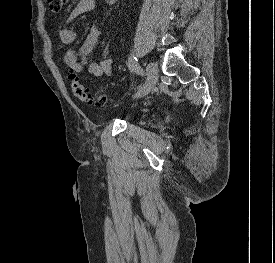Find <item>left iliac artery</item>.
Here are the masks:
<instances>
[{
  "label": "left iliac artery",
  "instance_id": "left-iliac-artery-1",
  "mask_svg": "<svg viewBox=\"0 0 275 263\" xmlns=\"http://www.w3.org/2000/svg\"><path fill=\"white\" fill-rule=\"evenodd\" d=\"M128 67L139 75H143L144 71L138 63L137 57L131 53L128 57Z\"/></svg>",
  "mask_w": 275,
  "mask_h": 263
}]
</instances>
